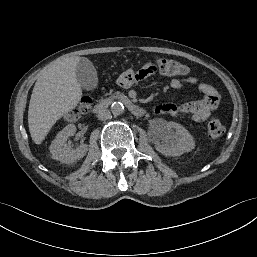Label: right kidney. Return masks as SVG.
<instances>
[{"label":"right kidney","mask_w":257,"mask_h":257,"mask_svg":"<svg viewBox=\"0 0 257 257\" xmlns=\"http://www.w3.org/2000/svg\"><path fill=\"white\" fill-rule=\"evenodd\" d=\"M76 133V126L69 124L62 129L50 145V153L52 158L62 163L70 164L83 158L87 151L86 144L80 145L78 148L73 149L67 144V139Z\"/></svg>","instance_id":"right-kidney-1"}]
</instances>
